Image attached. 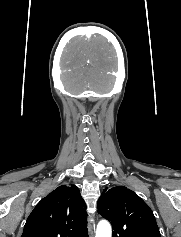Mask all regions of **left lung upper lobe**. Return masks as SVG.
Returning <instances> with one entry per match:
<instances>
[{"mask_svg":"<svg viewBox=\"0 0 181 237\" xmlns=\"http://www.w3.org/2000/svg\"><path fill=\"white\" fill-rule=\"evenodd\" d=\"M98 213L111 222L112 237H161L150 207L125 186L105 188Z\"/></svg>","mask_w":181,"mask_h":237,"instance_id":"5c2ea615","label":"left lung upper lobe"}]
</instances>
